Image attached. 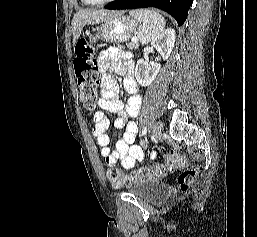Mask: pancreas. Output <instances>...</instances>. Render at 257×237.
<instances>
[{
  "instance_id": "cf45deb5",
  "label": "pancreas",
  "mask_w": 257,
  "mask_h": 237,
  "mask_svg": "<svg viewBox=\"0 0 257 237\" xmlns=\"http://www.w3.org/2000/svg\"><path fill=\"white\" fill-rule=\"evenodd\" d=\"M127 48L129 49H137L139 47V44L137 42H130L128 44H126Z\"/></svg>"
}]
</instances>
